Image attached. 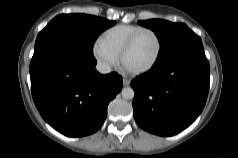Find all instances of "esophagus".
<instances>
[{"instance_id":"1","label":"esophagus","mask_w":238,"mask_h":158,"mask_svg":"<svg viewBox=\"0 0 238 158\" xmlns=\"http://www.w3.org/2000/svg\"><path fill=\"white\" fill-rule=\"evenodd\" d=\"M123 85L124 86H129L130 85V80L127 78H123Z\"/></svg>"}]
</instances>
